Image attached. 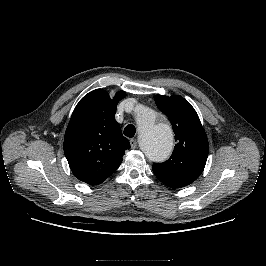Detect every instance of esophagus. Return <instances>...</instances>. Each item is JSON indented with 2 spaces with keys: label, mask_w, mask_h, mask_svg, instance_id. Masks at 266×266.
Here are the masks:
<instances>
[{
  "label": "esophagus",
  "mask_w": 266,
  "mask_h": 266,
  "mask_svg": "<svg viewBox=\"0 0 266 266\" xmlns=\"http://www.w3.org/2000/svg\"><path fill=\"white\" fill-rule=\"evenodd\" d=\"M130 145L132 149H135L137 147V140L136 139H130Z\"/></svg>",
  "instance_id": "1"
}]
</instances>
